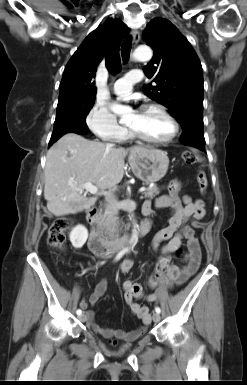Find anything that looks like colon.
<instances>
[{
    "label": "colon",
    "mask_w": 247,
    "mask_h": 385,
    "mask_svg": "<svg viewBox=\"0 0 247 385\" xmlns=\"http://www.w3.org/2000/svg\"><path fill=\"white\" fill-rule=\"evenodd\" d=\"M182 159L186 164H195L201 161V157L191 151L183 152ZM197 182L200 192L205 194L208 186V180L206 174L201 170L197 173ZM72 224V219L66 217H61L55 220L48 232V244L53 248L62 249L66 240L65 234L71 228ZM169 267V260L164 259L157 265L156 272L159 274L167 273ZM127 288L134 294L138 293V288L134 284H129Z\"/></svg>",
    "instance_id": "1"
}]
</instances>
